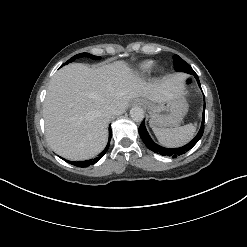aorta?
Instances as JSON below:
<instances>
[{
  "label": "aorta",
  "mask_w": 247,
  "mask_h": 247,
  "mask_svg": "<svg viewBox=\"0 0 247 247\" xmlns=\"http://www.w3.org/2000/svg\"><path fill=\"white\" fill-rule=\"evenodd\" d=\"M130 117L136 122H140L144 118V110L140 107H133L130 110Z\"/></svg>",
  "instance_id": "762f6f07"
}]
</instances>
